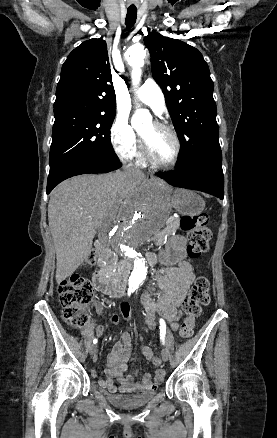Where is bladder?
Returning <instances> with one entry per match:
<instances>
[{
	"mask_svg": "<svg viewBox=\"0 0 277 438\" xmlns=\"http://www.w3.org/2000/svg\"><path fill=\"white\" fill-rule=\"evenodd\" d=\"M158 394V389H146L141 393L125 395L122 393L106 392V398L110 404L124 408L136 409L147 405Z\"/></svg>",
	"mask_w": 277,
	"mask_h": 438,
	"instance_id": "bladder-1",
	"label": "bladder"
}]
</instances>
